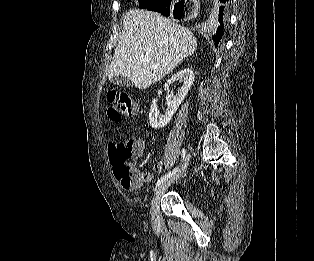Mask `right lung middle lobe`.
I'll return each mask as SVG.
<instances>
[{"label":"right lung middle lobe","instance_id":"obj_1","mask_svg":"<svg viewBox=\"0 0 314 261\" xmlns=\"http://www.w3.org/2000/svg\"><path fill=\"white\" fill-rule=\"evenodd\" d=\"M130 1V0H128ZM162 0H138L139 2V7L140 8H143V9H146L152 5H155L159 2H161Z\"/></svg>","mask_w":314,"mask_h":261}]
</instances>
